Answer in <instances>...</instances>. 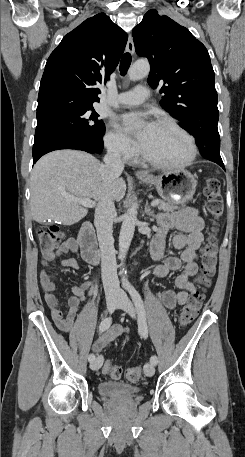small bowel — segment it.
<instances>
[{
	"label": "small bowel",
	"instance_id": "1",
	"mask_svg": "<svg viewBox=\"0 0 245 457\" xmlns=\"http://www.w3.org/2000/svg\"><path fill=\"white\" fill-rule=\"evenodd\" d=\"M157 221L159 226L158 232L151 243L152 258L158 262L153 267V274L156 277H166L170 271L183 268V273L175 280L178 291L166 290L162 295V301L165 307L174 309L177 306L184 305L188 295L195 291L199 276L197 250L203 241L205 222L200 216L198 209L194 207H187L172 213H161L158 215ZM170 231H178L173 237L172 244L175 249L182 250L179 257L164 256L163 254L164 240ZM78 249V241L68 239L55 252L43 254L40 286L55 324L61 331L68 333L71 344L80 350H93L99 353L117 338L126 336L127 329L119 325L112 326L98 340L92 342L90 333L85 328L75 324L74 319L85 295L87 293L91 295L96 294L94 284L90 281H82L73 286V296L68 299V309L64 313L54 294L55 277L49 273L50 263L55 258L77 252ZM62 266L79 269V264L74 258L63 259Z\"/></svg>",
	"mask_w": 245,
	"mask_h": 457
}]
</instances>
